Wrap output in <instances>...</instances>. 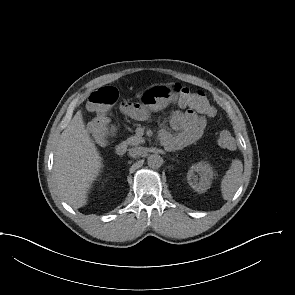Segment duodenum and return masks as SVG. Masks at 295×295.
Returning a JSON list of instances; mask_svg holds the SVG:
<instances>
[{
	"label": "duodenum",
	"mask_w": 295,
	"mask_h": 295,
	"mask_svg": "<svg viewBox=\"0 0 295 295\" xmlns=\"http://www.w3.org/2000/svg\"><path fill=\"white\" fill-rule=\"evenodd\" d=\"M126 152V145L124 143H119L115 146V154L118 156L124 155Z\"/></svg>",
	"instance_id": "1"
}]
</instances>
